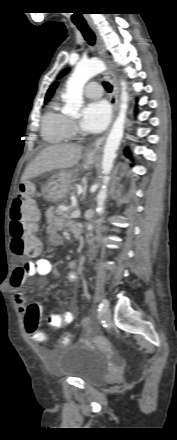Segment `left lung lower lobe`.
I'll return each instance as SVG.
<instances>
[{
	"label": "left lung lower lobe",
	"instance_id": "obj_1",
	"mask_svg": "<svg viewBox=\"0 0 177 440\" xmlns=\"http://www.w3.org/2000/svg\"><path fill=\"white\" fill-rule=\"evenodd\" d=\"M125 155H126L127 157H130V154H129V152H128L127 149L125 150Z\"/></svg>",
	"mask_w": 177,
	"mask_h": 440
}]
</instances>
